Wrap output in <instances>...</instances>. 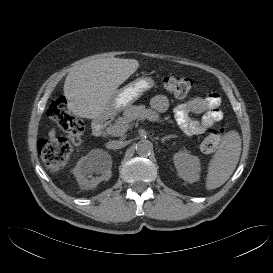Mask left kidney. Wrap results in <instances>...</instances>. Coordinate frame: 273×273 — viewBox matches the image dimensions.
Returning <instances> with one entry per match:
<instances>
[{
	"instance_id": "1",
	"label": "left kidney",
	"mask_w": 273,
	"mask_h": 273,
	"mask_svg": "<svg viewBox=\"0 0 273 273\" xmlns=\"http://www.w3.org/2000/svg\"><path fill=\"white\" fill-rule=\"evenodd\" d=\"M177 173L183 180L194 183L199 180L200 160L197 156L189 154L187 151H179L173 157Z\"/></svg>"
}]
</instances>
